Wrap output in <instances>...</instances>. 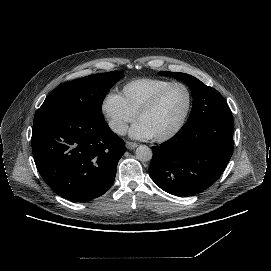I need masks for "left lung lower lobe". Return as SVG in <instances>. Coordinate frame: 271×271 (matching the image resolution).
Masks as SVG:
<instances>
[{
	"mask_svg": "<svg viewBox=\"0 0 271 271\" xmlns=\"http://www.w3.org/2000/svg\"><path fill=\"white\" fill-rule=\"evenodd\" d=\"M233 118H207L183 126L170 140L153 146L152 180L176 196H192L223 173L234 147Z\"/></svg>",
	"mask_w": 271,
	"mask_h": 271,
	"instance_id": "obj_1",
	"label": "left lung lower lobe"
}]
</instances>
